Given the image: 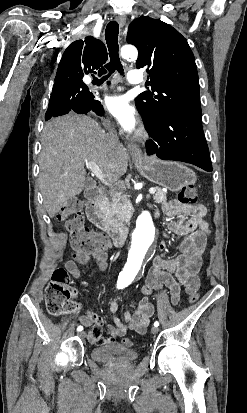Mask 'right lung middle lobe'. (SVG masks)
<instances>
[{
  "label": "right lung middle lobe",
  "instance_id": "obj_1",
  "mask_svg": "<svg viewBox=\"0 0 247 413\" xmlns=\"http://www.w3.org/2000/svg\"><path fill=\"white\" fill-rule=\"evenodd\" d=\"M87 89L83 81L54 83L50 99L77 95Z\"/></svg>",
  "mask_w": 247,
  "mask_h": 413
}]
</instances>
